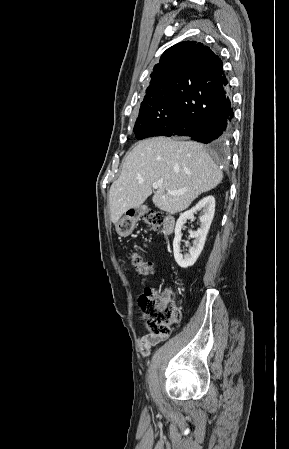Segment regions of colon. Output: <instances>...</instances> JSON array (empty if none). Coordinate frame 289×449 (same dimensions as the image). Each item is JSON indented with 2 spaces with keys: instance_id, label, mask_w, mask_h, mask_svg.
Wrapping results in <instances>:
<instances>
[{
  "instance_id": "obj_1",
  "label": "colon",
  "mask_w": 289,
  "mask_h": 449,
  "mask_svg": "<svg viewBox=\"0 0 289 449\" xmlns=\"http://www.w3.org/2000/svg\"><path fill=\"white\" fill-rule=\"evenodd\" d=\"M143 220L152 226H159L163 216L155 211H146L142 215ZM130 221L124 225L128 227ZM131 263L140 277L147 278L154 273V265L138 253L131 255ZM146 324L150 331L160 337H168L172 328L181 319V310L178 304L172 300L169 291H156L146 288L139 299Z\"/></svg>"
}]
</instances>
